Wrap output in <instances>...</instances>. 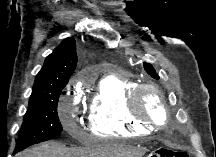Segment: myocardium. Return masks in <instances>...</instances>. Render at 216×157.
<instances>
[{
	"label": "myocardium",
	"instance_id": "1",
	"mask_svg": "<svg viewBox=\"0 0 216 157\" xmlns=\"http://www.w3.org/2000/svg\"><path fill=\"white\" fill-rule=\"evenodd\" d=\"M152 91L155 93L160 108L163 113V118L160 122L156 121L149 113L145 111L143 99L146 92ZM129 111L136 119L144 121L153 127H161L167 123L168 108L165 103L164 92L154 84L138 85L130 94L128 101Z\"/></svg>",
	"mask_w": 216,
	"mask_h": 157
}]
</instances>
